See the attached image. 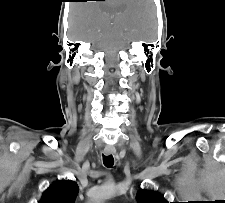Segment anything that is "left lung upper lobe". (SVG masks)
Returning a JSON list of instances; mask_svg holds the SVG:
<instances>
[{
    "label": "left lung upper lobe",
    "instance_id": "1",
    "mask_svg": "<svg viewBox=\"0 0 225 203\" xmlns=\"http://www.w3.org/2000/svg\"><path fill=\"white\" fill-rule=\"evenodd\" d=\"M137 203H169L156 191L140 190L136 196Z\"/></svg>",
    "mask_w": 225,
    "mask_h": 203
}]
</instances>
